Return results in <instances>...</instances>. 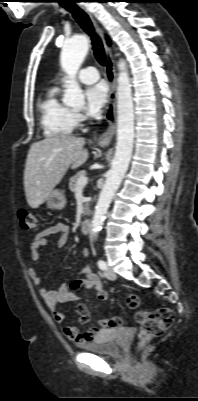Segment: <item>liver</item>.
Wrapping results in <instances>:
<instances>
[{"label": "liver", "instance_id": "6515ba94", "mask_svg": "<svg viewBox=\"0 0 198 401\" xmlns=\"http://www.w3.org/2000/svg\"><path fill=\"white\" fill-rule=\"evenodd\" d=\"M85 139L73 136H50L31 145L24 170L26 199L38 208L57 186L69 167L76 169L88 157Z\"/></svg>", "mask_w": 198, "mask_h": 401}]
</instances>
